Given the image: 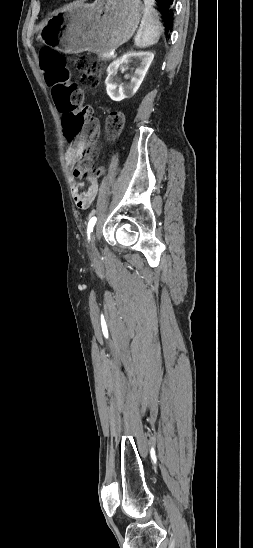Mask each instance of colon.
I'll list each match as a JSON object with an SVG mask.
<instances>
[{"instance_id": "1", "label": "colon", "mask_w": 253, "mask_h": 548, "mask_svg": "<svg viewBox=\"0 0 253 548\" xmlns=\"http://www.w3.org/2000/svg\"><path fill=\"white\" fill-rule=\"evenodd\" d=\"M41 71L45 74L48 83V96L54 99L58 111L62 114L61 134L63 137H86V147L83 158L77 164L76 170L87 178H98L101 169H96L92 156L94 154V140L99 133V122L92 115L89 107L84 105L81 89L76 87V81L71 76V69L67 60L50 48H43L39 53ZM75 69L79 73L80 83L84 88L97 86L103 70V63L86 57L78 56L73 59ZM124 126V114L120 111L110 113L106 120V131L110 136L118 135Z\"/></svg>"}]
</instances>
